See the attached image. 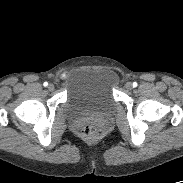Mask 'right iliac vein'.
Listing matches in <instances>:
<instances>
[{
  "label": "right iliac vein",
  "instance_id": "right-iliac-vein-1",
  "mask_svg": "<svg viewBox=\"0 0 183 183\" xmlns=\"http://www.w3.org/2000/svg\"><path fill=\"white\" fill-rule=\"evenodd\" d=\"M54 88H55V87H54V85H53V84H49V85H48V90H49V91H53V90H54Z\"/></svg>",
  "mask_w": 183,
  "mask_h": 183
}]
</instances>
